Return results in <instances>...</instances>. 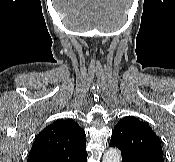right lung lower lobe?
<instances>
[{
    "label": "right lung lower lobe",
    "mask_w": 175,
    "mask_h": 162,
    "mask_svg": "<svg viewBox=\"0 0 175 162\" xmlns=\"http://www.w3.org/2000/svg\"><path fill=\"white\" fill-rule=\"evenodd\" d=\"M77 162H87V156L83 157L81 160H78Z\"/></svg>",
    "instance_id": "right-lung-lower-lobe-1"
}]
</instances>
